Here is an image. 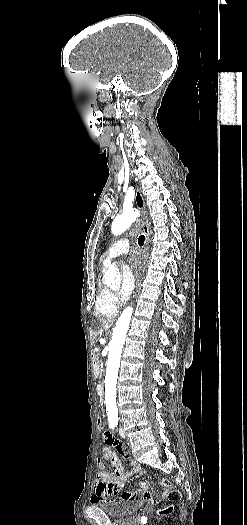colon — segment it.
Returning <instances> with one entry per match:
<instances>
[{
	"instance_id": "1",
	"label": "colon",
	"mask_w": 247,
	"mask_h": 525,
	"mask_svg": "<svg viewBox=\"0 0 247 525\" xmlns=\"http://www.w3.org/2000/svg\"><path fill=\"white\" fill-rule=\"evenodd\" d=\"M95 424L97 426V430L99 432H102L104 430L106 421L104 418L99 417L96 419ZM167 492H168L167 498L169 499V504H168V507H169L168 513H169L172 509L174 502H176L177 500L181 498V494L176 489H167ZM159 515H163V514H159Z\"/></svg>"
}]
</instances>
